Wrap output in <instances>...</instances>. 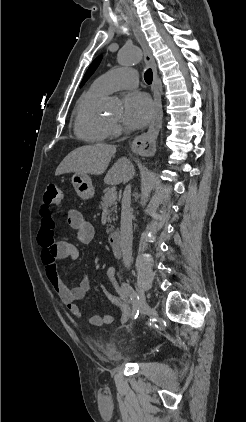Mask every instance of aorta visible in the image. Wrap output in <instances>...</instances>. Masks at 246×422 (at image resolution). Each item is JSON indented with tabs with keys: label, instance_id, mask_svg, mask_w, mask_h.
I'll list each match as a JSON object with an SVG mask.
<instances>
[{
	"label": "aorta",
	"instance_id": "1",
	"mask_svg": "<svg viewBox=\"0 0 246 422\" xmlns=\"http://www.w3.org/2000/svg\"><path fill=\"white\" fill-rule=\"evenodd\" d=\"M142 59V53L139 47L130 46L122 48L118 53V61L122 65L137 64ZM116 107L109 106L107 110L114 111Z\"/></svg>",
	"mask_w": 246,
	"mask_h": 422
}]
</instances>
